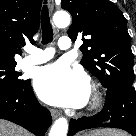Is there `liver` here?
Masks as SVG:
<instances>
[{"mask_svg": "<svg viewBox=\"0 0 136 136\" xmlns=\"http://www.w3.org/2000/svg\"><path fill=\"white\" fill-rule=\"evenodd\" d=\"M0 136H31L26 130L9 121L0 119Z\"/></svg>", "mask_w": 136, "mask_h": 136, "instance_id": "6515ba94", "label": "liver"}]
</instances>
